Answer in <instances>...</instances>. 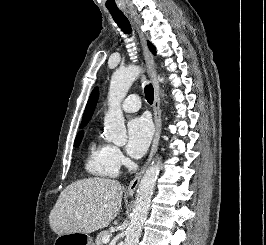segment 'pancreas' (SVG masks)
<instances>
[{
	"instance_id": "cf45deb5",
	"label": "pancreas",
	"mask_w": 266,
	"mask_h": 245,
	"mask_svg": "<svg viewBox=\"0 0 266 245\" xmlns=\"http://www.w3.org/2000/svg\"><path fill=\"white\" fill-rule=\"evenodd\" d=\"M107 235H110L108 231H101V233H99L95 239V245H104L102 239L103 237H107Z\"/></svg>"
}]
</instances>
